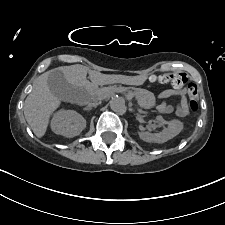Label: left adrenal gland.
Here are the masks:
<instances>
[{"mask_svg": "<svg viewBox=\"0 0 225 225\" xmlns=\"http://www.w3.org/2000/svg\"><path fill=\"white\" fill-rule=\"evenodd\" d=\"M138 112H139V113H144L141 109H138Z\"/></svg>", "mask_w": 225, "mask_h": 225, "instance_id": "obj_1", "label": "left adrenal gland"}]
</instances>
